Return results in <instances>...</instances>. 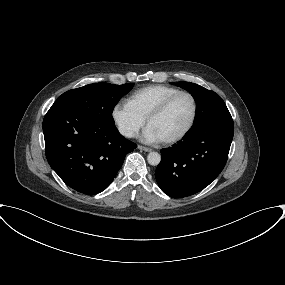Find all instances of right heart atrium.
Here are the masks:
<instances>
[{
	"instance_id": "obj_1",
	"label": "right heart atrium",
	"mask_w": 285,
	"mask_h": 285,
	"mask_svg": "<svg viewBox=\"0 0 285 285\" xmlns=\"http://www.w3.org/2000/svg\"><path fill=\"white\" fill-rule=\"evenodd\" d=\"M111 116L119 133L126 138L135 137L145 124V119L126 101L117 102L112 108Z\"/></svg>"
}]
</instances>
